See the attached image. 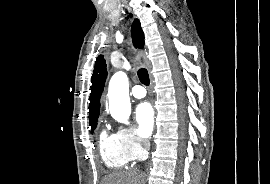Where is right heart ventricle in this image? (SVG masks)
<instances>
[{
    "instance_id": "1",
    "label": "right heart ventricle",
    "mask_w": 270,
    "mask_h": 184,
    "mask_svg": "<svg viewBox=\"0 0 270 184\" xmlns=\"http://www.w3.org/2000/svg\"><path fill=\"white\" fill-rule=\"evenodd\" d=\"M99 148L101 157L109 168H123L132 161L122 148L116 134H109L103 130L99 136Z\"/></svg>"
}]
</instances>
